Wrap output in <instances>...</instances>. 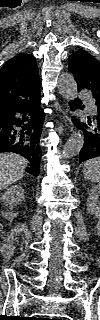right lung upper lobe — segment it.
<instances>
[{"mask_svg": "<svg viewBox=\"0 0 100 320\" xmlns=\"http://www.w3.org/2000/svg\"><path fill=\"white\" fill-rule=\"evenodd\" d=\"M39 92V72L34 56L20 53L1 68L0 112L15 107Z\"/></svg>", "mask_w": 100, "mask_h": 320, "instance_id": "right-lung-upper-lobe-1", "label": "right lung upper lobe"}]
</instances>
